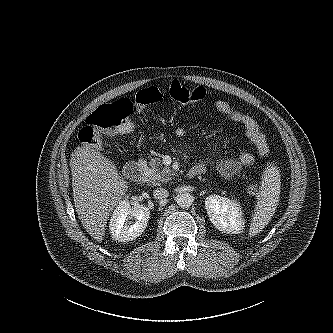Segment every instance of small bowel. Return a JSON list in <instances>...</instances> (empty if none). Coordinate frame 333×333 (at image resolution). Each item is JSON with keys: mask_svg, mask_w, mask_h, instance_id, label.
<instances>
[{"mask_svg": "<svg viewBox=\"0 0 333 333\" xmlns=\"http://www.w3.org/2000/svg\"><path fill=\"white\" fill-rule=\"evenodd\" d=\"M214 108L221 114L227 116L230 120L242 125L247 138L254 145L257 155L260 158H266L269 154V145L265 134L262 132L259 124L249 115L235 109L229 102L225 100H215ZM177 137H183L186 130L178 127L175 130ZM255 163V157L248 152H241L237 158H219L216 160V167L219 172L226 178H233L240 174L242 170L250 168ZM202 169H206V164L200 162L196 165Z\"/></svg>", "mask_w": 333, "mask_h": 333, "instance_id": "1", "label": "small bowel"}]
</instances>
